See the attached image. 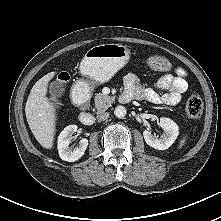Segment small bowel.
I'll return each mask as SVG.
<instances>
[{
    "label": "small bowel",
    "mask_w": 221,
    "mask_h": 221,
    "mask_svg": "<svg viewBox=\"0 0 221 221\" xmlns=\"http://www.w3.org/2000/svg\"><path fill=\"white\" fill-rule=\"evenodd\" d=\"M176 75L162 76L155 87H144L138 76L128 73L124 77V95L130 99L146 101L154 104L176 105L188 88L187 74L182 68L175 70Z\"/></svg>",
    "instance_id": "small-bowel-1"
}]
</instances>
